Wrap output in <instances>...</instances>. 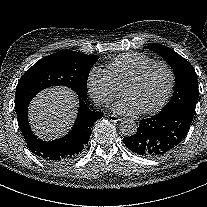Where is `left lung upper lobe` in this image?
Masks as SVG:
<instances>
[{"label": "left lung upper lobe", "mask_w": 207, "mask_h": 207, "mask_svg": "<svg viewBox=\"0 0 207 207\" xmlns=\"http://www.w3.org/2000/svg\"><path fill=\"white\" fill-rule=\"evenodd\" d=\"M145 48L160 55L171 66L175 74L174 94L162 110L181 108L194 114L198 99V82L193 66L167 46L150 44Z\"/></svg>", "instance_id": "5c2ea615"}]
</instances>
